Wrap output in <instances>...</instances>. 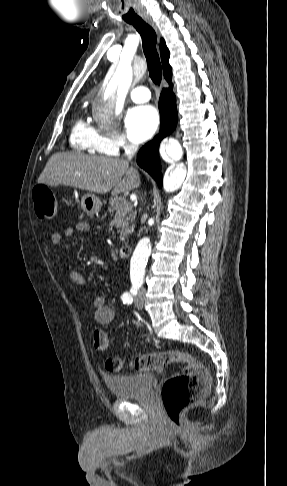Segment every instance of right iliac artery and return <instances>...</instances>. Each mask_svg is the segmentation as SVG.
<instances>
[{"label": "right iliac artery", "mask_w": 287, "mask_h": 486, "mask_svg": "<svg viewBox=\"0 0 287 486\" xmlns=\"http://www.w3.org/2000/svg\"><path fill=\"white\" fill-rule=\"evenodd\" d=\"M130 293H131L132 295H136V294H137V290H136L135 288H132V289L130 290ZM130 293H128V292L124 293V294L122 295V298H125V297H132V296L130 295Z\"/></svg>", "instance_id": "82829eb1"}]
</instances>
